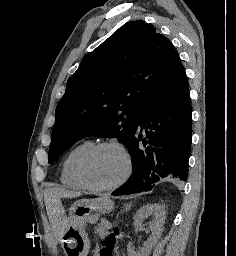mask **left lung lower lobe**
Masks as SVG:
<instances>
[{"label":"left lung lower lobe","mask_w":236,"mask_h":256,"mask_svg":"<svg viewBox=\"0 0 236 256\" xmlns=\"http://www.w3.org/2000/svg\"><path fill=\"white\" fill-rule=\"evenodd\" d=\"M191 136V100L183 71L140 112L127 147L133 174L112 195L150 191L164 178L186 181Z\"/></svg>","instance_id":"0a47b994"}]
</instances>
